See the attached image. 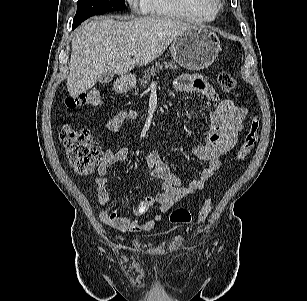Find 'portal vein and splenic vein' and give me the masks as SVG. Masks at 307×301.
<instances>
[{
    "label": "portal vein and splenic vein",
    "instance_id": "obj_1",
    "mask_svg": "<svg viewBox=\"0 0 307 301\" xmlns=\"http://www.w3.org/2000/svg\"><path fill=\"white\" fill-rule=\"evenodd\" d=\"M137 54V52L136 51H132V52H130V55H132V56H134V55H136Z\"/></svg>",
    "mask_w": 307,
    "mask_h": 301
}]
</instances>
